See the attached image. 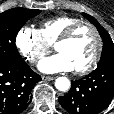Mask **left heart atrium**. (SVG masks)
I'll list each match as a JSON object with an SVG mask.
<instances>
[{
    "label": "left heart atrium",
    "mask_w": 114,
    "mask_h": 114,
    "mask_svg": "<svg viewBox=\"0 0 114 114\" xmlns=\"http://www.w3.org/2000/svg\"><path fill=\"white\" fill-rule=\"evenodd\" d=\"M39 70L44 73L68 72L74 70L71 61L62 53L43 59L39 63Z\"/></svg>",
    "instance_id": "obj_1"
}]
</instances>
